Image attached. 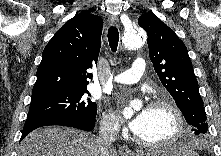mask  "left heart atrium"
I'll return each mask as SVG.
<instances>
[{"instance_id": "39dd6f15", "label": "left heart atrium", "mask_w": 221, "mask_h": 156, "mask_svg": "<svg viewBox=\"0 0 221 156\" xmlns=\"http://www.w3.org/2000/svg\"><path fill=\"white\" fill-rule=\"evenodd\" d=\"M150 113V108L145 107L141 109L130 121H129V127L137 133L141 130V128L144 126L145 122L148 119Z\"/></svg>"}]
</instances>
